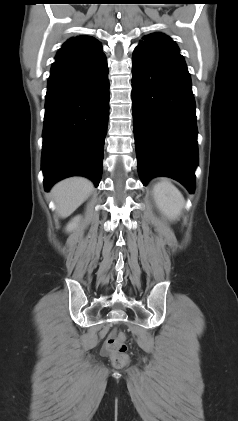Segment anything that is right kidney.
<instances>
[{
  "instance_id": "1",
  "label": "right kidney",
  "mask_w": 238,
  "mask_h": 421,
  "mask_svg": "<svg viewBox=\"0 0 238 421\" xmlns=\"http://www.w3.org/2000/svg\"><path fill=\"white\" fill-rule=\"evenodd\" d=\"M79 219H80V217H79V216L74 217V218L71 220V222L67 225V227H66V231H67V232L72 231V230H73V229L77 226V223H78Z\"/></svg>"
}]
</instances>
